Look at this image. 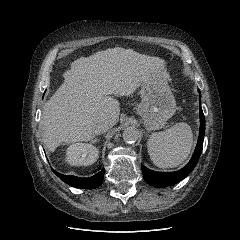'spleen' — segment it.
<instances>
[{
    "label": "spleen",
    "mask_w": 240,
    "mask_h": 240,
    "mask_svg": "<svg viewBox=\"0 0 240 240\" xmlns=\"http://www.w3.org/2000/svg\"><path fill=\"white\" fill-rule=\"evenodd\" d=\"M193 134L186 123H177L163 132H155L147 142L153 163L160 168H172L182 164L190 154Z\"/></svg>",
    "instance_id": "3e777b00"
}]
</instances>
